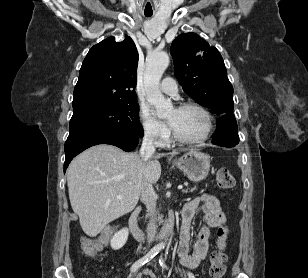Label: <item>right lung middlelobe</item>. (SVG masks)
Returning <instances> with one entry per match:
<instances>
[{"instance_id": "dd1d6c3e", "label": "right lung middle lobe", "mask_w": 308, "mask_h": 278, "mask_svg": "<svg viewBox=\"0 0 308 278\" xmlns=\"http://www.w3.org/2000/svg\"><path fill=\"white\" fill-rule=\"evenodd\" d=\"M109 131L143 136L137 103L117 104L73 115L69 134L80 132Z\"/></svg>"}]
</instances>
